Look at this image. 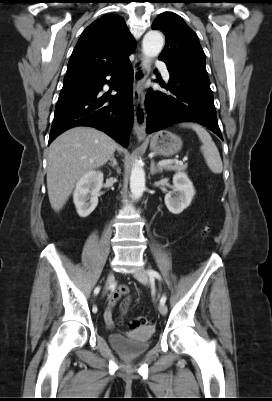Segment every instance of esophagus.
Masks as SVG:
<instances>
[{
    "label": "esophagus",
    "mask_w": 272,
    "mask_h": 401,
    "mask_svg": "<svg viewBox=\"0 0 272 401\" xmlns=\"http://www.w3.org/2000/svg\"><path fill=\"white\" fill-rule=\"evenodd\" d=\"M134 82H133V105H134V126L133 131L139 141L144 140L146 136V113L144 109L143 83L146 72L144 60L141 54H138L134 63Z\"/></svg>",
    "instance_id": "esophagus-1"
}]
</instances>
